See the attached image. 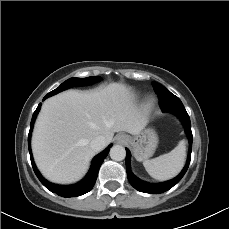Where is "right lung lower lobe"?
<instances>
[{
    "label": "right lung lower lobe",
    "instance_id": "1",
    "mask_svg": "<svg viewBox=\"0 0 229 229\" xmlns=\"http://www.w3.org/2000/svg\"><path fill=\"white\" fill-rule=\"evenodd\" d=\"M46 98H47V96L44 97V99H46ZM40 107H41V103L38 105L37 109L35 110V112H34V114L32 116L31 125H30V131H29V136H28L29 153H30L32 167H33V170H34L36 176L38 177L40 182L49 191H51L53 193H56V194H58L59 196H62V197H66V198H69V197H72V196L77 197V196H80V195H83V194L89 192L93 188V186L95 184L99 168H100L103 160L108 155V152L110 150L111 145L108 146L102 153H100L99 155H97L93 159L92 165H91V168H90L88 174L80 182H78V183H76L74 185H68V186L56 185V184H52V183L48 182L47 180H45L41 176L40 172L37 170V168L35 166V163L33 161V158H32V153H31V148H30L31 132H32V128H33L36 116H37V114H38V112L40 110Z\"/></svg>",
    "mask_w": 229,
    "mask_h": 229
}]
</instances>
